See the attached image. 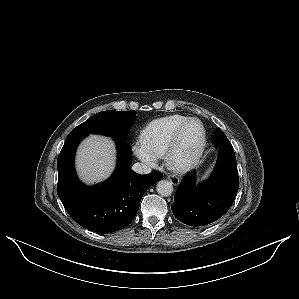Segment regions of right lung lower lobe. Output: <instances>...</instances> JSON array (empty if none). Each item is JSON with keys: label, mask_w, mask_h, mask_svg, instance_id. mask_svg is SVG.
I'll list each match as a JSON object with an SVG mask.
<instances>
[{"label": "right lung lower lobe", "mask_w": 299, "mask_h": 299, "mask_svg": "<svg viewBox=\"0 0 299 299\" xmlns=\"http://www.w3.org/2000/svg\"><path fill=\"white\" fill-rule=\"evenodd\" d=\"M85 136L71 132L65 140L57 160V194L68 214L82 227L97 233L121 230L135 217L143 194L163 174L135 173L130 168V145L115 138L118 162L114 174L100 185L86 187L78 180L74 168L75 151Z\"/></svg>", "instance_id": "obj_1"}]
</instances>
